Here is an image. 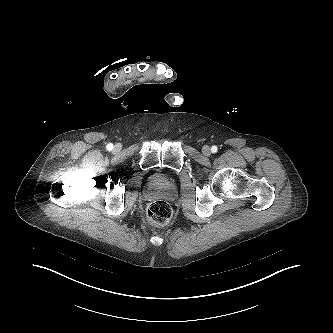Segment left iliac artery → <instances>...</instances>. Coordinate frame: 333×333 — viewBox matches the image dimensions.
<instances>
[{"instance_id":"left-iliac-artery-1","label":"left iliac artery","mask_w":333,"mask_h":333,"mask_svg":"<svg viewBox=\"0 0 333 333\" xmlns=\"http://www.w3.org/2000/svg\"><path fill=\"white\" fill-rule=\"evenodd\" d=\"M211 151L212 153H216L218 151L217 146H212Z\"/></svg>"}]
</instances>
